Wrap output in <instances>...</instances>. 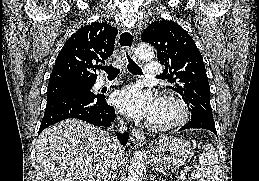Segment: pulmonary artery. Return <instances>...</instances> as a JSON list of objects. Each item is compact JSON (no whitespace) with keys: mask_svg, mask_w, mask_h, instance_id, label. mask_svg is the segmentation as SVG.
Segmentation results:
<instances>
[{"mask_svg":"<svg viewBox=\"0 0 259 181\" xmlns=\"http://www.w3.org/2000/svg\"><path fill=\"white\" fill-rule=\"evenodd\" d=\"M162 71L161 65L158 63H147L145 66V70H144V74L146 76H156L157 74H159ZM107 84H114V82H110L107 83L105 81L101 82L100 85L101 86H105Z\"/></svg>","mask_w":259,"mask_h":181,"instance_id":"e3ab8cb5","label":"pulmonary artery"}]
</instances>
